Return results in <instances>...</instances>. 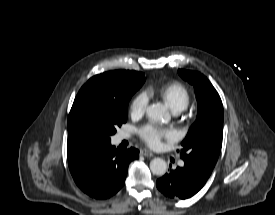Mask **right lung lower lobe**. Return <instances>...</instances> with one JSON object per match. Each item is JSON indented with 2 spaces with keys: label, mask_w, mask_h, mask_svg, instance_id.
<instances>
[{
  "label": "right lung lower lobe",
  "mask_w": 275,
  "mask_h": 215,
  "mask_svg": "<svg viewBox=\"0 0 275 215\" xmlns=\"http://www.w3.org/2000/svg\"><path fill=\"white\" fill-rule=\"evenodd\" d=\"M68 165L77 186L90 197L106 199L125 184L128 165L138 158L135 148L116 151L110 142L68 146Z\"/></svg>",
  "instance_id": "1"
}]
</instances>
